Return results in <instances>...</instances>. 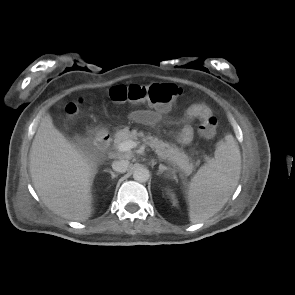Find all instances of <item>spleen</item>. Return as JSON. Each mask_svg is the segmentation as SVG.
I'll return each instance as SVG.
<instances>
[{"label":"spleen","instance_id":"3e777b00","mask_svg":"<svg viewBox=\"0 0 295 295\" xmlns=\"http://www.w3.org/2000/svg\"><path fill=\"white\" fill-rule=\"evenodd\" d=\"M241 155L232 135H226L215 150L214 158L200 167L187 190L191 223H201L215 215L237 187Z\"/></svg>","mask_w":295,"mask_h":295}]
</instances>
